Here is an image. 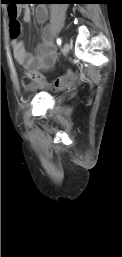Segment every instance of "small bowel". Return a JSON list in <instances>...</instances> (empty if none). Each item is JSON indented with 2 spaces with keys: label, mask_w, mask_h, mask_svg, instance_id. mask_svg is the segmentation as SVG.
<instances>
[{
  "label": "small bowel",
  "mask_w": 122,
  "mask_h": 257,
  "mask_svg": "<svg viewBox=\"0 0 122 257\" xmlns=\"http://www.w3.org/2000/svg\"><path fill=\"white\" fill-rule=\"evenodd\" d=\"M9 13V10H8ZM17 13H22L25 22L30 23L34 19L38 24L43 25L48 18V9L39 5L35 8L34 14L26 6L18 7ZM42 43L34 52H28L25 44L18 38H12L11 48L15 60L24 68L31 71H42L50 69L56 60V54L51 37V31L45 27L41 33Z\"/></svg>",
  "instance_id": "small-bowel-1"
}]
</instances>
